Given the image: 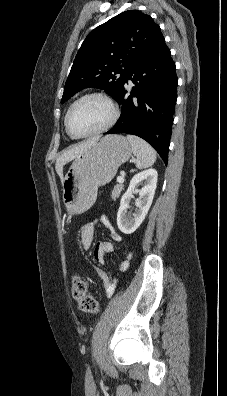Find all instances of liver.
<instances>
[{
  "mask_svg": "<svg viewBox=\"0 0 227 396\" xmlns=\"http://www.w3.org/2000/svg\"><path fill=\"white\" fill-rule=\"evenodd\" d=\"M98 138H93L90 140H87L70 150L64 152L61 156L58 157L56 164H55V169L57 174L59 175L61 182L63 183L64 177H63V166L75 159L77 156H79L84 150H86L90 145H92L95 141H97Z\"/></svg>",
  "mask_w": 227,
  "mask_h": 396,
  "instance_id": "obj_1",
  "label": "liver"
}]
</instances>
